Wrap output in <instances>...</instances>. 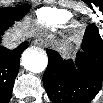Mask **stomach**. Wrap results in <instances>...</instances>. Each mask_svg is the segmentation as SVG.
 <instances>
[{"label": "stomach", "instance_id": "0dacf381", "mask_svg": "<svg viewBox=\"0 0 103 103\" xmlns=\"http://www.w3.org/2000/svg\"><path fill=\"white\" fill-rule=\"evenodd\" d=\"M58 51L63 55H68L73 51L71 44L69 42H61L56 45Z\"/></svg>", "mask_w": 103, "mask_h": 103}]
</instances>
